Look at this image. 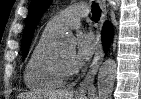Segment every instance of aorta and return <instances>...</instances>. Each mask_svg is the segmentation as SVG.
Listing matches in <instances>:
<instances>
[{"instance_id": "1", "label": "aorta", "mask_w": 141, "mask_h": 99, "mask_svg": "<svg viewBox=\"0 0 141 99\" xmlns=\"http://www.w3.org/2000/svg\"><path fill=\"white\" fill-rule=\"evenodd\" d=\"M110 6L113 10H118L120 0H109ZM61 45L66 48H73L75 39L72 36H65L61 40ZM116 62L113 59H107L103 62L98 72V98L97 99H111L113 86L116 75Z\"/></svg>"}]
</instances>
